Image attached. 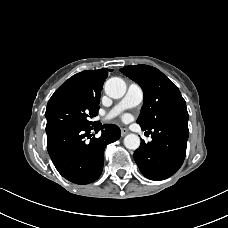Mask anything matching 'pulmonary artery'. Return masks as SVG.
Masks as SVG:
<instances>
[{
  "label": "pulmonary artery",
  "instance_id": "pulmonary-artery-1",
  "mask_svg": "<svg viewBox=\"0 0 228 228\" xmlns=\"http://www.w3.org/2000/svg\"><path fill=\"white\" fill-rule=\"evenodd\" d=\"M143 98L144 92L142 88L136 83H131L128 86L125 96L117 105H115L111 109V111L106 115L105 120L112 119L113 117L121 113L123 110L139 105L143 101Z\"/></svg>",
  "mask_w": 228,
  "mask_h": 228
}]
</instances>
